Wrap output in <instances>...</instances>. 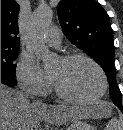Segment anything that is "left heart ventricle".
<instances>
[{
    "instance_id": "obj_1",
    "label": "left heart ventricle",
    "mask_w": 123,
    "mask_h": 130,
    "mask_svg": "<svg viewBox=\"0 0 123 130\" xmlns=\"http://www.w3.org/2000/svg\"><path fill=\"white\" fill-rule=\"evenodd\" d=\"M50 76L68 95L89 98L98 94L102 87L99 72L89 62L57 60L49 69Z\"/></svg>"
}]
</instances>
